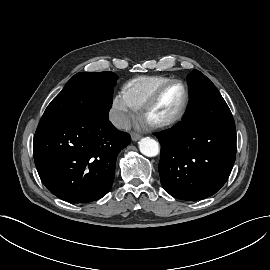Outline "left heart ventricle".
I'll return each mask as SVG.
<instances>
[{
  "mask_svg": "<svg viewBox=\"0 0 270 270\" xmlns=\"http://www.w3.org/2000/svg\"><path fill=\"white\" fill-rule=\"evenodd\" d=\"M183 100V89L180 85L168 87L162 94L161 98L151 110L149 119L157 120L169 115L174 111Z\"/></svg>",
  "mask_w": 270,
  "mask_h": 270,
  "instance_id": "left-heart-ventricle-1",
  "label": "left heart ventricle"
}]
</instances>
